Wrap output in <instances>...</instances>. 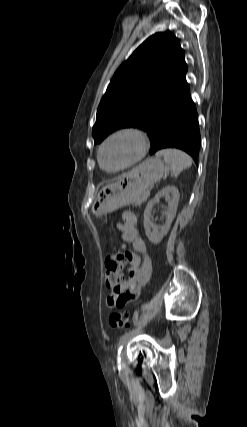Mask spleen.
<instances>
[{
    "label": "spleen",
    "instance_id": "1",
    "mask_svg": "<svg viewBox=\"0 0 247 427\" xmlns=\"http://www.w3.org/2000/svg\"><path fill=\"white\" fill-rule=\"evenodd\" d=\"M163 157L170 166L171 176L177 177L184 169L190 168L192 160L188 154L178 149H163L156 153V157Z\"/></svg>",
    "mask_w": 247,
    "mask_h": 427
}]
</instances>
